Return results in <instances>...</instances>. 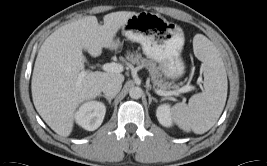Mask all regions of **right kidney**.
Instances as JSON below:
<instances>
[{
    "label": "right kidney",
    "mask_w": 267,
    "mask_h": 166,
    "mask_svg": "<svg viewBox=\"0 0 267 166\" xmlns=\"http://www.w3.org/2000/svg\"><path fill=\"white\" fill-rule=\"evenodd\" d=\"M106 107L98 101L84 103L75 114L78 125L88 131L96 130L103 122Z\"/></svg>",
    "instance_id": "obj_1"
}]
</instances>
